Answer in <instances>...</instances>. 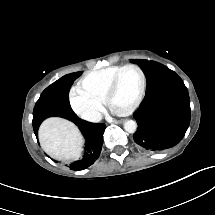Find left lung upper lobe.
Masks as SVG:
<instances>
[{
  "instance_id": "5c2ea615",
  "label": "left lung upper lobe",
  "mask_w": 215,
  "mask_h": 215,
  "mask_svg": "<svg viewBox=\"0 0 215 215\" xmlns=\"http://www.w3.org/2000/svg\"><path fill=\"white\" fill-rule=\"evenodd\" d=\"M147 78L145 98L134 113L138 130L134 141L144 150L174 147L184 137L191 117L188 90L182 79L167 67L135 60Z\"/></svg>"
}]
</instances>
